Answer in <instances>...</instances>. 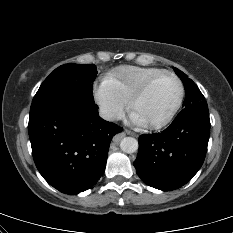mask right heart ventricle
Returning a JSON list of instances; mask_svg holds the SVG:
<instances>
[{
  "label": "right heart ventricle",
  "mask_w": 233,
  "mask_h": 233,
  "mask_svg": "<svg viewBox=\"0 0 233 233\" xmlns=\"http://www.w3.org/2000/svg\"><path fill=\"white\" fill-rule=\"evenodd\" d=\"M162 71L156 67L122 66L109 73L103 84L122 102L128 103L147 80Z\"/></svg>",
  "instance_id": "1"
}]
</instances>
